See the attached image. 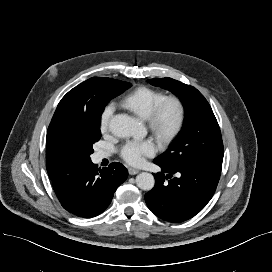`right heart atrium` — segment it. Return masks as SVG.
<instances>
[{"instance_id": "1", "label": "right heart atrium", "mask_w": 272, "mask_h": 272, "mask_svg": "<svg viewBox=\"0 0 272 272\" xmlns=\"http://www.w3.org/2000/svg\"><path fill=\"white\" fill-rule=\"evenodd\" d=\"M114 112V105L112 103H108L102 110L99 120V127L101 132H106L109 128L110 120L112 114Z\"/></svg>"}]
</instances>
